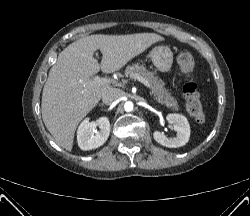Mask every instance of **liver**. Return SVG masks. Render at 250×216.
Segmentation results:
<instances>
[{
  "mask_svg": "<svg viewBox=\"0 0 250 216\" xmlns=\"http://www.w3.org/2000/svg\"><path fill=\"white\" fill-rule=\"evenodd\" d=\"M163 38L155 33L90 35L59 53L42 93L41 112L56 143L71 151L80 121L97 105L109 85L84 84L101 68L104 73L120 70L127 62ZM102 53L101 65L94 52Z\"/></svg>",
  "mask_w": 250,
  "mask_h": 216,
  "instance_id": "liver-1",
  "label": "liver"
}]
</instances>
